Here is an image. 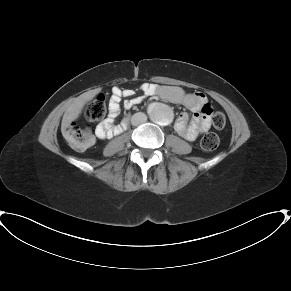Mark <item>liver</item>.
Here are the masks:
<instances>
[{
    "mask_svg": "<svg viewBox=\"0 0 291 291\" xmlns=\"http://www.w3.org/2000/svg\"><path fill=\"white\" fill-rule=\"evenodd\" d=\"M99 91L100 89H94V90L85 92L74 99V101L67 108L63 116L62 125H61L63 130L69 127L71 122L75 121L80 116L85 104L88 101L92 100L96 96V94H98Z\"/></svg>",
    "mask_w": 291,
    "mask_h": 291,
    "instance_id": "obj_1",
    "label": "liver"
}]
</instances>
